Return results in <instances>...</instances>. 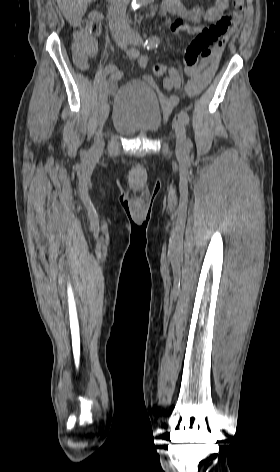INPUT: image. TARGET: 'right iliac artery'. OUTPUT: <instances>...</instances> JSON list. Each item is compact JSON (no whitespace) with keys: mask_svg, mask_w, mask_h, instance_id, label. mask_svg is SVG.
Listing matches in <instances>:
<instances>
[{"mask_svg":"<svg viewBox=\"0 0 280 472\" xmlns=\"http://www.w3.org/2000/svg\"><path fill=\"white\" fill-rule=\"evenodd\" d=\"M127 55L130 59H136L139 56V51L136 48H130L127 51ZM117 71V67L115 65H108L104 68L101 82H100V95L98 100V106L103 105L107 100V80L106 78L109 75H113Z\"/></svg>","mask_w":280,"mask_h":472,"instance_id":"right-iliac-artery-1","label":"right iliac artery"}]
</instances>
